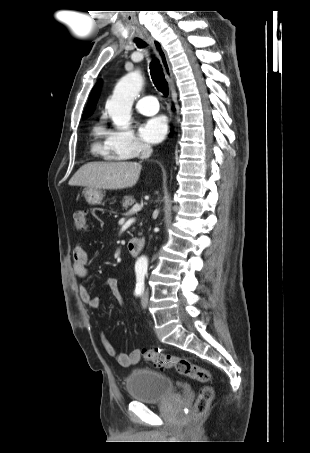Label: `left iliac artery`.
Instances as JSON below:
<instances>
[{"instance_id": "1", "label": "left iliac artery", "mask_w": 310, "mask_h": 453, "mask_svg": "<svg viewBox=\"0 0 310 453\" xmlns=\"http://www.w3.org/2000/svg\"><path fill=\"white\" fill-rule=\"evenodd\" d=\"M144 277H145V273H143V272L137 273V283H136V288H135V294L137 296H140L144 290Z\"/></svg>"}]
</instances>
